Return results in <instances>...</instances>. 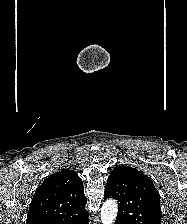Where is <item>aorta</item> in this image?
Returning a JSON list of instances; mask_svg holds the SVG:
<instances>
[{"label":"aorta","instance_id":"1","mask_svg":"<svg viewBox=\"0 0 187 224\" xmlns=\"http://www.w3.org/2000/svg\"><path fill=\"white\" fill-rule=\"evenodd\" d=\"M118 212L117 202L113 199L106 200L101 208L102 224H113Z\"/></svg>","mask_w":187,"mask_h":224}]
</instances>
